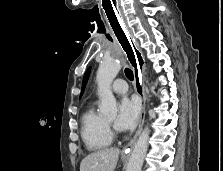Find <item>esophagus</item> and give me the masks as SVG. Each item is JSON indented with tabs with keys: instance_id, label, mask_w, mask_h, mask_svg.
Instances as JSON below:
<instances>
[{
	"instance_id": "1",
	"label": "esophagus",
	"mask_w": 223,
	"mask_h": 171,
	"mask_svg": "<svg viewBox=\"0 0 223 171\" xmlns=\"http://www.w3.org/2000/svg\"><path fill=\"white\" fill-rule=\"evenodd\" d=\"M106 12L110 22V29L114 31L117 39L127 54V60H129L133 68L135 76V89L141 98V114L138 129L133 139L123 148V152L128 153L135 145L137 137L139 136L144 124L146 94L143 82V73L145 69V60L138 44L136 43L135 39L132 38L130 30H127L123 13H109L107 10Z\"/></svg>"
}]
</instances>
